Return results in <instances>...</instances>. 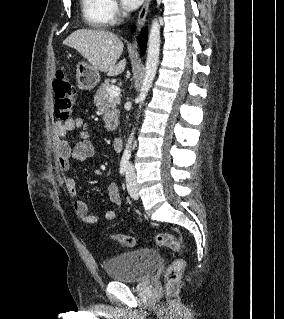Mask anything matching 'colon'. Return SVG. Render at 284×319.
<instances>
[{
  "instance_id": "1",
  "label": "colon",
  "mask_w": 284,
  "mask_h": 319,
  "mask_svg": "<svg viewBox=\"0 0 284 319\" xmlns=\"http://www.w3.org/2000/svg\"><path fill=\"white\" fill-rule=\"evenodd\" d=\"M54 108L56 117L60 121L70 119L73 111L76 91L67 76L63 72H58L53 81ZM109 239L123 246L134 247L136 239L128 235L110 234ZM153 241L157 246H165L174 252H179L182 248L181 242L173 235L168 233H158L153 236ZM185 266L183 259L174 260L167 268L165 273V286L170 291L179 281L181 272Z\"/></svg>"
}]
</instances>
